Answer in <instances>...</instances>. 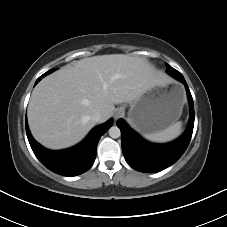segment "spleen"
Returning a JSON list of instances; mask_svg holds the SVG:
<instances>
[{"label":"spleen","instance_id":"1","mask_svg":"<svg viewBox=\"0 0 227 227\" xmlns=\"http://www.w3.org/2000/svg\"><path fill=\"white\" fill-rule=\"evenodd\" d=\"M182 122L178 121L162 131L144 134V138L153 142H167L175 139L181 133Z\"/></svg>","mask_w":227,"mask_h":227}]
</instances>
